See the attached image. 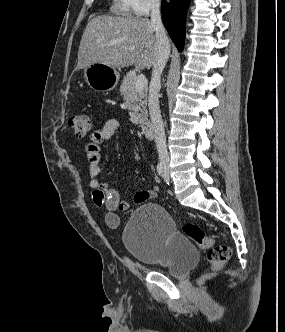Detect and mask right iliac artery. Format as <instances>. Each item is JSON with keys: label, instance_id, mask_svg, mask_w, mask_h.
Returning <instances> with one entry per match:
<instances>
[{"label": "right iliac artery", "instance_id": "right-iliac-artery-1", "mask_svg": "<svg viewBox=\"0 0 285 332\" xmlns=\"http://www.w3.org/2000/svg\"><path fill=\"white\" fill-rule=\"evenodd\" d=\"M157 173H158L161 177H163V175H164V167H163V164H162V163H159V164L157 165Z\"/></svg>", "mask_w": 285, "mask_h": 332}]
</instances>
